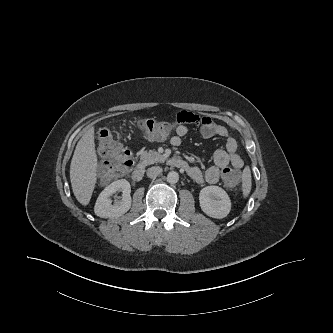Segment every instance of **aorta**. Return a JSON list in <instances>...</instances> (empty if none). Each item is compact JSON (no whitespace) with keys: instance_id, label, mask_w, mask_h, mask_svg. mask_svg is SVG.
Returning <instances> with one entry per match:
<instances>
[{"instance_id":"1","label":"aorta","mask_w":333,"mask_h":333,"mask_svg":"<svg viewBox=\"0 0 333 333\" xmlns=\"http://www.w3.org/2000/svg\"><path fill=\"white\" fill-rule=\"evenodd\" d=\"M179 180V174L176 171H170L167 175V181L171 184L177 183Z\"/></svg>"}]
</instances>
